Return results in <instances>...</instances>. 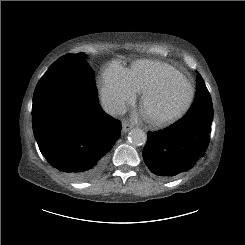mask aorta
I'll return each instance as SVG.
<instances>
[{"instance_id":"762f6f07","label":"aorta","mask_w":245,"mask_h":245,"mask_svg":"<svg viewBox=\"0 0 245 245\" xmlns=\"http://www.w3.org/2000/svg\"><path fill=\"white\" fill-rule=\"evenodd\" d=\"M128 136H129L130 143L135 146L144 145L147 141L146 133L142 129H139V128L132 129L129 132Z\"/></svg>"}]
</instances>
